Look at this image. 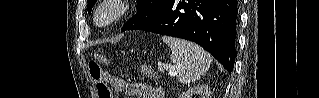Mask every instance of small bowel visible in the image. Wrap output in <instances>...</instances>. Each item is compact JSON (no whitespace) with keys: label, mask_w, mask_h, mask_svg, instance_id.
<instances>
[{"label":"small bowel","mask_w":319,"mask_h":98,"mask_svg":"<svg viewBox=\"0 0 319 98\" xmlns=\"http://www.w3.org/2000/svg\"><path fill=\"white\" fill-rule=\"evenodd\" d=\"M109 83L116 90L125 93L129 97L139 98H163L162 90L145 83L127 82L118 77H109Z\"/></svg>","instance_id":"small-bowel-1"}]
</instances>
